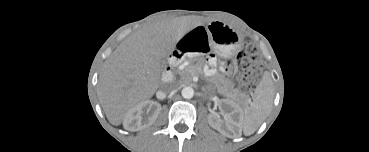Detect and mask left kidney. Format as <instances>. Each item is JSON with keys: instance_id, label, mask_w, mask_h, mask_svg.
<instances>
[{"instance_id": "left-kidney-1", "label": "left kidney", "mask_w": 369, "mask_h": 152, "mask_svg": "<svg viewBox=\"0 0 369 152\" xmlns=\"http://www.w3.org/2000/svg\"><path fill=\"white\" fill-rule=\"evenodd\" d=\"M220 108H224V119L232 128H238L243 120V111L235 102L227 99H221L218 103ZM208 123L216 130H221V122L212 114L208 116Z\"/></svg>"}]
</instances>
